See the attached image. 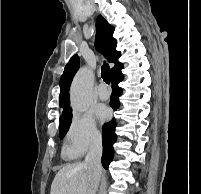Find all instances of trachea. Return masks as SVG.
I'll return each mask as SVG.
<instances>
[{
  "instance_id": "trachea-1",
  "label": "trachea",
  "mask_w": 201,
  "mask_h": 194,
  "mask_svg": "<svg viewBox=\"0 0 201 194\" xmlns=\"http://www.w3.org/2000/svg\"><path fill=\"white\" fill-rule=\"evenodd\" d=\"M101 76L103 80L107 83L110 84L111 81V71L110 67L107 63H104L101 68Z\"/></svg>"
}]
</instances>
